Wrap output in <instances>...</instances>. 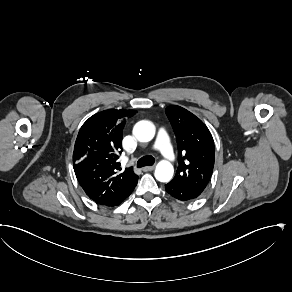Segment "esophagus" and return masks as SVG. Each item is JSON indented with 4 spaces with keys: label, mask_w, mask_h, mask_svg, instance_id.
I'll use <instances>...</instances> for the list:
<instances>
[{
    "label": "esophagus",
    "mask_w": 292,
    "mask_h": 292,
    "mask_svg": "<svg viewBox=\"0 0 292 292\" xmlns=\"http://www.w3.org/2000/svg\"><path fill=\"white\" fill-rule=\"evenodd\" d=\"M154 168H155L154 166H145V167L142 168V170H143L144 172H147V171H151V170H153Z\"/></svg>",
    "instance_id": "obj_1"
}]
</instances>
